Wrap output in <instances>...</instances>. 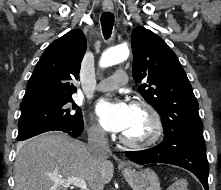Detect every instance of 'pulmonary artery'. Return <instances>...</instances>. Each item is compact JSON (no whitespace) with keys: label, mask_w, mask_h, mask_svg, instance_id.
Masks as SVG:
<instances>
[{"label":"pulmonary artery","mask_w":221,"mask_h":190,"mask_svg":"<svg viewBox=\"0 0 221 190\" xmlns=\"http://www.w3.org/2000/svg\"><path fill=\"white\" fill-rule=\"evenodd\" d=\"M128 83V76L124 70H116L114 74L103 79L96 85L98 91H110L120 86H125Z\"/></svg>","instance_id":"1"}]
</instances>
